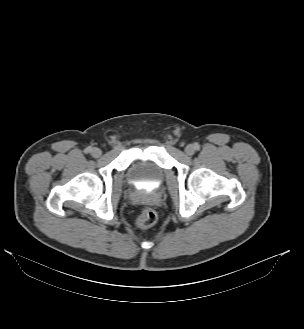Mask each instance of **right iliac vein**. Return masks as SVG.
Returning a JSON list of instances; mask_svg holds the SVG:
<instances>
[{
	"label": "right iliac vein",
	"instance_id": "63e3f726",
	"mask_svg": "<svg viewBox=\"0 0 304 329\" xmlns=\"http://www.w3.org/2000/svg\"><path fill=\"white\" fill-rule=\"evenodd\" d=\"M101 154H102V151H101L99 148H97V147H95V148H93V149L91 150V155H92L94 158H98V157H100Z\"/></svg>",
	"mask_w": 304,
	"mask_h": 329
}]
</instances>
